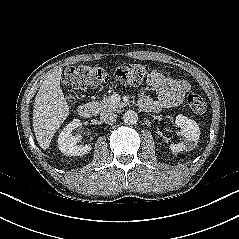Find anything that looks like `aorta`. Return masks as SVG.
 Masks as SVG:
<instances>
[{
	"instance_id": "762f6f07",
	"label": "aorta",
	"mask_w": 239,
	"mask_h": 239,
	"mask_svg": "<svg viewBox=\"0 0 239 239\" xmlns=\"http://www.w3.org/2000/svg\"><path fill=\"white\" fill-rule=\"evenodd\" d=\"M123 121L127 125H134L138 121V115L133 110H128L123 115Z\"/></svg>"
}]
</instances>
